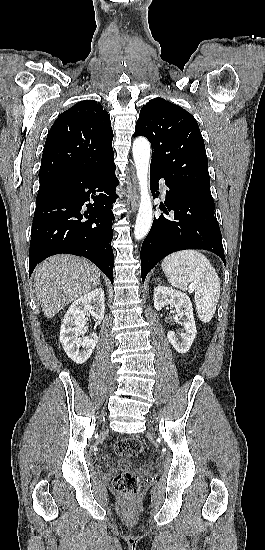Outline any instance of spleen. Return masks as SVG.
<instances>
[{"label":"spleen","instance_id":"1","mask_svg":"<svg viewBox=\"0 0 265 550\" xmlns=\"http://www.w3.org/2000/svg\"><path fill=\"white\" fill-rule=\"evenodd\" d=\"M161 266L172 286L185 289L191 284L199 319L211 321L220 296V279L207 257L196 250H184L168 255Z\"/></svg>","mask_w":265,"mask_h":550}]
</instances>
